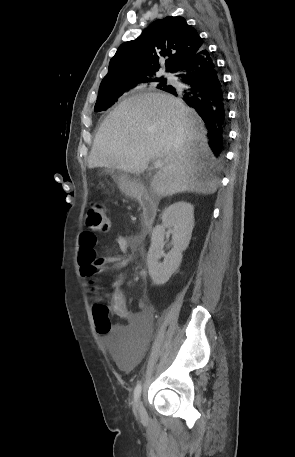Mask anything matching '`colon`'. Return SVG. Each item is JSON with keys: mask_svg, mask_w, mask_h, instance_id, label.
Returning a JSON list of instances; mask_svg holds the SVG:
<instances>
[{"mask_svg": "<svg viewBox=\"0 0 295 457\" xmlns=\"http://www.w3.org/2000/svg\"><path fill=\"white\" fill-rule=\"evenodd\" d=\"M85 225L90 231L104 232L109 229V218L101 201L92 200L88 203ZM96 272L97 269L94 265L86 261L81 263L82 276L92 279ZM93 315L98 332L102 335L107 334L111 329L109 308L100 298L95 300Z\"/></svg>", "mask_w": 295, "mask_h": 457, "instance_id": "colon-1", "label": "colon"}]
</instances>
